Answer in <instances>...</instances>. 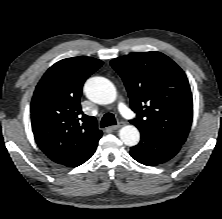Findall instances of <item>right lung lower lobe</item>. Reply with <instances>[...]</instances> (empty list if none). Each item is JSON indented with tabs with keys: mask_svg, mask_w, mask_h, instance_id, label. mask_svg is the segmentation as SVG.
Here are the masks:
<instances>
[{
	"mask_svg": "<svg viewBox=\"0 0 222 219\" xmlns=\"http://www.w3.org/2000/svg\"><path fill=\"white\" fill-rule=\"evenodd\" d=\"M95 150H96V148H95ZM95 150L84 160V162L87 161L94 154Z\"/></svg>",
	"mask_w": 222,
	"mask_h": 219,
	"instance_id": "right-lung-lower-lobe-1",
	"label": "right lung lower lobe"
}]
</instances>
